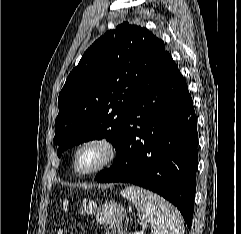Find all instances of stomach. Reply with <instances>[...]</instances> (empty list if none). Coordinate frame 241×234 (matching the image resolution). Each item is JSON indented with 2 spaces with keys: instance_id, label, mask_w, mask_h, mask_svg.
Returning a JSON list of instances; mask_svg holds the SVG:
<instances>
[{
  "instance_id": "1",
  "label": "stomach",
  "mask_w": 241,
  "mask_h": 234,
  "mask_svg": "<svg viewBox=\"0 0 241 234\" xmlns=\"http://www.w3.org/2000/svg\"><path fill=\"white\" fill-rule=\"evenodd\" d=\"M80 213L82 215L97 214L103 221L111 226H118L126 216L125 208L113 201H106L99 207L92 204H84L81 206Z\"/></svg>"
}]
</instances>
